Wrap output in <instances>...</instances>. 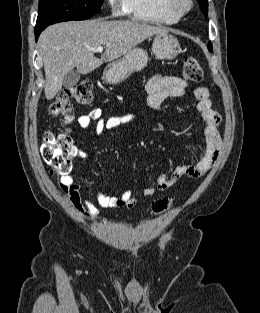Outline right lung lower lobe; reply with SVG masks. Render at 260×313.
Instances as JSON below:
<instances>
[{"label":"right lung lower lobe","mask_w":260,"mask_h":313,"mask_svg":"<svg viewBox=\"0 0 260 313\" xmlns=\"http://www.w3.org/2000/svg\"><path fill=\"white\" fill-rule=\"evenodd\" d=\"M47 27V25H37L35 26V38L36 41L38 39V36L40 35V33Z\"/></svg>","instance_id":"1"}]
</instances>
